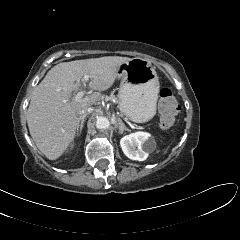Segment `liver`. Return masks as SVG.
<instances>
[{"instance_id":"1","label":"liver","mask_w":240,"mask_h":240,"mask_svg":"<svg viewBox=\"0 0 240 240\" xmlns=\"http://www.w3.org/2000/svg\"><path fill=\"white\" fill-rule=\"evenodd\" d=\"M128 57L105 56L63 62L51 68L35 88L27 111V124L37 148L50 160L58 159L73 142L79 126V112L93 105L117 78L118 68ZM89 75L94 92L75 101L72 93Z\"/></svg>"}]
</instances>
